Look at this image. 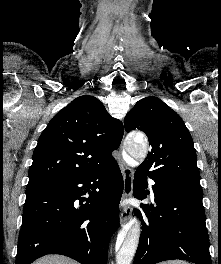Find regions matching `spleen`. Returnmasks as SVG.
<instances>
[{
	"label": "spleen",
	"mask_w": 221,
	"mask_h": 264,
	"mask_svg": "<svg viewBox=\"0 0 221 264\" xmlns=\"http://www.w3.org/2000/svg\"><path fill=\"white\" fill-rule=\"evenodd\" d=\"M160 264H189L186 261H180V260H172V261H168V262H163Z\"/></svg>",
	"instance_id": "obj_1"
}]
</instances>
